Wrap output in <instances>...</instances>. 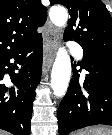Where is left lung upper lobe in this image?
Segmentation results:
<instances>
[{
    "mask_svg": "<svg viewBox=\"0 0 112 135\" xmlns=\"http://www.w3.org/2000/svg\"><path fill=\"white\" fill-rule=\"evenodd\" d=\"M64 5L70 20L64 38L79 43L85 51L112 55V18L101 0H50Z\"/></svg>",
    "mask_w": 112,
    "mask_h": 135,
    "instance_id": "left-lung-upper-lobe-1",
    "label": "left lung upper lobe"
}]
</instances>
